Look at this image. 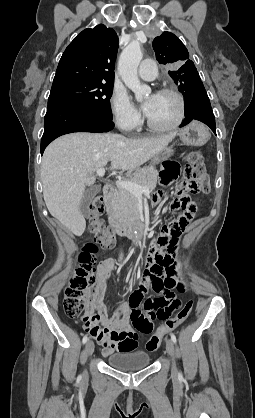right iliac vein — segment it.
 I'll use <instances>...</instances> for the list:
<instances>
[{
	"mask_svg": "<svg viewBox=\"0 0 255 418\" xmlns=\"http://www.w3.org/2000/svg\"><path fill=\"white\" fill-rule=\"evenodd\" d=\"M94 352V343L91 340H88L85 345V353L88 357H90Z\"/></svg>",
	"mask_w": 255,
	"mask_h": 418,
	"instance_id": "obj_1",
	"label": "right iliac vein"
}]
</instances>
